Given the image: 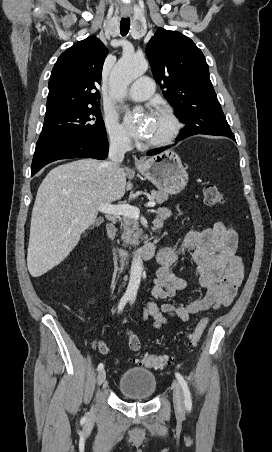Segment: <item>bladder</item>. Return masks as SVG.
Instances as JSON below:
<instances>
[{"label": "bladder", "mask_w": 272, "mask_h": 452, "mask_svg": "<svg viewBox=\"0 0 272 452\" xmlns=\"http://www.w3.org/2000/svg\"><path fill=\"white\" fill-rule=\"evenodd\" d=\"M158 383L155 374L146 368L133 367L122 373L118 391L130 399H148L157 392Z\"/></svg>", "instance_id": "1"}]
</instances>
